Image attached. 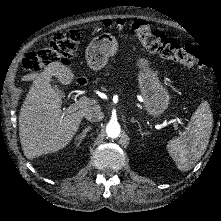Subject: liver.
<instances>
[{"mask_svg": "<svg viewBox=\"0 0 221 221\" xmlns=\"http://www.w3.org/2000/svg\"><path fill=\"white\" fill-rule=\"evenodd\" d=\"M52 77L69 85L75 74L56 61L33 81L18 118L21 146L28 159L63 149L78 131L84 114L91 109H100L99 105H93L70 114L63 112L62 97L51 85Z\"/></svg>", "mask_w": 221, "mask_h": 221, "instance_id": "obj_1", "label": "liver"}]
</instances>
